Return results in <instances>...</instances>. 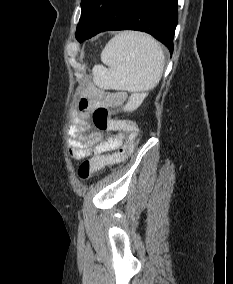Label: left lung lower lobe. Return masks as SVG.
Returning a JSON list of instances; mask_svg holds the SVG:
<instances>
[{
	"label": "left lung lower lobe",
	"mask_w": 233,
	"mask_h": 284,
	"mask_svg": "<svg viewBox=\"0 0 233 284\" xmlns=\"http://www.w3.org/2000/svg\"><path fill=\"white\" fill-rule=\"evenodd\" d=\"M178 0H106L88 32L79 40L104 31L139 30L147 32L173 52L178 21Z\"/></svg>",
	"instance_id": "left-lung-lower-lobe-1"
}]
</instances>
